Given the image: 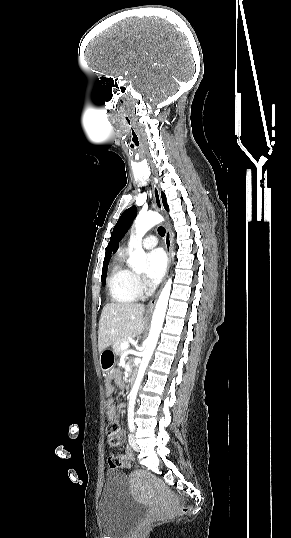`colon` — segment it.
Here are the masks:
<instances>
[{
  "label": "colon",
  "instance_id": "1",
  "mask_svg": "<svg viewBox=\"0 0 291 538\" xmlns=\"http://www.w3.org/2000/svg\"><path fill=\"white\" fill-rule=\"evenodd\" d=\"M106 434H107L108 444L111 447L117 446L123 439V432H122L119 424L114 420L110 421L107 424ZM109 462H110L111 465H113L115 467L121 466L124 469H129L130 468L129 463H123L121 461V459H119L115 455H110L109 456ZM186 512H187V507H182L178 514L183 515Z\"/></svg>",
  "mask_w": 291,
  "mask_h": 538
}]
</instances>
